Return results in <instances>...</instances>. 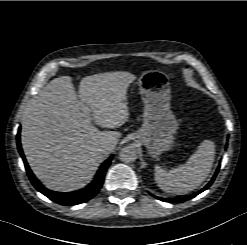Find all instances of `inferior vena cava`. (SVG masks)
<instances>
[{
	"mask_svg": "<svg viewBox=\"0 0 247 245\" xmlns=\"http://www.w3.org/2000/svg\"><path fill=\"white\" fill-rule=\"evenodd\" d=\"M114 148V144L111 142H104L100 145V150L102 152H111Z\"/></svg>",
	"mask_w": 247,
	"mask_h": 245,
	"instance_id": "1",
	"label": "inferior vena cava"
}]
</instances>
